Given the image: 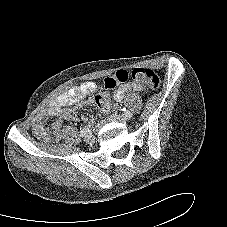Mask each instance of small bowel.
I'll return each instance as SVG.
<instances>
[{"instance_id": "c3829d8e", "label": "small bowel", "mask_w": 227, "mask_h": 227, "mask_svg": "<svg viewBox=\"0 0 227 227\" xmlns=\"http://www.w3.org/2000/svg\"><path fill=\"white\" fill-rule=\"evenodd\" d=\"M96 90V85L93 82L87 81L83 82L78 86H74L68 89L66 92L58 95L57 97L51 99L46 107L38 111L33 120V132L34 134L42 139L49 138L51 136H58V132L61 129L62 121L61 119L74 120L70 111L66 108L67 106L77 105L80 100L86 96L92 95ZM144 87L138 82H129L127 84L121 85L114 93V98L120 101L126 93L130 91H143ZM108 107V108H112ZM48 117H58L52 123V132H49L45 127V120Z\"/></svg>"}]
</instances>
